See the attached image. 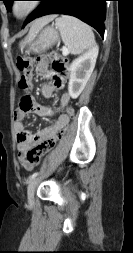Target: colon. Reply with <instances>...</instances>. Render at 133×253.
<instances>
[{
  "instance_id": "5ec220e1",
  "label": "colon",
  "mask_w": 133,
  "mask_h": 253,
  "mask_svg": "<svg viewBox=\"0 0 133 253\" xmlns=\"http://www.w3.org/2000/svg\"><path fill=\"white\" fill-rule=\"evenodd\" d=\"M52 71L56 74H66L68 71L67 59L57 52H50L47 57ZM17 67L22 72L19 79L18 86L23 93H29L32 89L31 75L33 69V60L25 55H20L17 58ZM65 114L69 118V122H75V109L72 106H68L65 109ZM68 125V124H67ZM67 125L62 127L56 132V134L45 141H43L39 146L32 149L27 154V160L33 165H38L41 158L47 154L56 143L63 137L67 130Z\"/></svg>"
}]
</instances>
